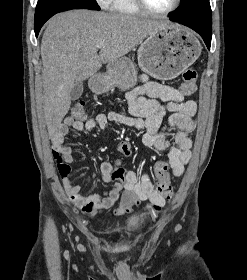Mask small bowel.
<instances>
[{
  "mask_svg": "<svg viewBox=\"0 0 247 280\" xmlns=\"http://www.w3.org/2000/svg\"><path fill=\"white\" fill-rule=\"evenodd\" d=\"M141 80L142 85L127 94L130 116L111 111L107 114L100 113L85 121L66 117L52 132L53 154L68 168L65 172L59 171L63 187L72 203L92 218L103 210L110 209L117 201L119 205L114 210L115 215L130 213L134 206L145 200L150 201L149 208L152 211H159L165 204V197L154 189L146 171L140 176L129 171L126 176L128 186L121 191H113L110 187L101 193L84 195L81 187L75 184L71 177L69 164L74 161V155L71 147L65 144V137L70 129L92 131L98 127L104 130L109 122H114L121 126L145 130L144 145L158 152H166L168 165L175 177L183 174L190 159L192 141L189 133L195 127L193 117L196 113V103L193 100H184L182 94L174 87L151 81L146 75H142ZM167 112L171 115L167 125L161 128ZM167 128H174L176 131L168 134ZM113 170L111 163L104 162L100 166L99 174L92 173L91 176L111 183Z\"/></svg>",
  "mask_w": 247,
  "mask_h": 280,
  "instance_id": "1",
  "label": "small bowel"
}]
</instances>
